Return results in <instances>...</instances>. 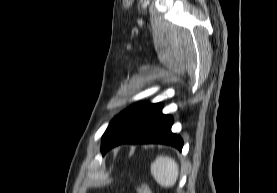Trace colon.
<instances>
[{
    "label": "colon",
    "instance_id": "1",
    "mask_svg": "<svg viewBox=\"0 0 277 193\" xmlns=\"http://www.w3.org/2000/svg\"><path fill=\"white\" fill-rule=\"evenodd\" d=\"M133 186L136 193H153L150 186L141 180H136Z\"/></svg>",
    "mask_w": 277,
    "mask_h": 193
}]
</instances>
